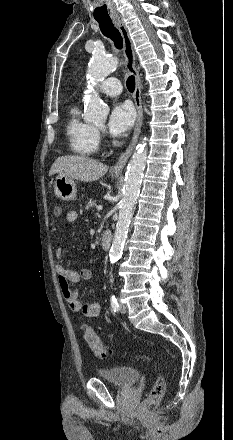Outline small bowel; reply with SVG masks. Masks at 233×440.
I'll list each match as a JSON object with an SVG mask.
<instances>
[{"instance_id": "obj_1", "label": "small bowel", "mask_w": 233, "mask_h": 440, "mask_svg": "<svg viewBox=\"0 0 233 440\" xmlns=\"http://www.w3.org/2000/svg\"><path fill=\"white\" fill-rule=\"evenodd\" d=\"M78 212L70 210L66 214V220L70 223L77 221ZM63 250L58 248L56 250L55 270L58 276V282L61 293L66 300L69 309L73 313H82L86 317L96 318L100 315L101 307L97 302H81L80 292L72 287V284L79 283L81 280H91L93 272L90 269L83 268L80 270H73L66 268L62 264Z\"/></svg>"}]
</instances>
